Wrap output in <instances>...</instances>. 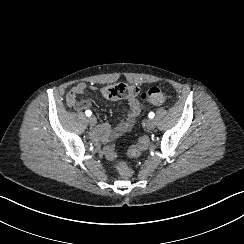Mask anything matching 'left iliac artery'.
Returning <instances> with one entry per match:
<instances>
[{"label":"left iliac artery","mask_w":244,"mask_h":244,"mask_svg":"<svg viewBox=\"0 0 244 244\" xmlns=\"http://www.w3.org/2000/svg\"><path fill=\"white\" fill-rule=\"evenodd\" d=\"M148 116H149V118L152 119V118H154L155 114L153 112H150Z\"/></svg>","instance_id":"obj_1"}]
</instances>
